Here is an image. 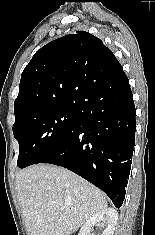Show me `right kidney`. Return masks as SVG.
<instances>
[{"label":"right kidney","instance_id":"ca27d5eb","mask_svg":"<svg viewBox=\"0 0 155 235\" xmlns=\"http://www.w3.org/2000/svg\"><path fill=\"white\" fill-rule=\"evenodd\" d=\"M118 220V213L114 209H106L91 218L81 227L78 235H88L95 225L103 228L101 235H113Z\"/></svg>","mask_w":155,"mask_h":235}]
</instances>
